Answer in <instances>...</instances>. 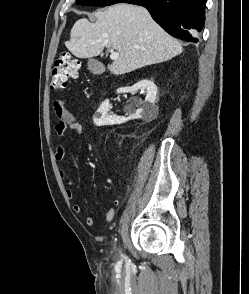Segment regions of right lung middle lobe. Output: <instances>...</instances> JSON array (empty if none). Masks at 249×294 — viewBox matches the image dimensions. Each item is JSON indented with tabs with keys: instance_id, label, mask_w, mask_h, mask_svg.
I'll return each instance as SVG.
<instances>
[{
	"instance_id": "dd1d6c3e",
	"label": "right lung middle lobe",
	"mask_w": 249,
	"mask_h": 294,
	"mask_svg": "<svg viewBox=\"0 0 249 294\" xmlns=\"http://www.w3.org/2000/svg\"><path fill=\"white\" fill-rule=\"evenodd\" d=\"M76 2L81 5L107 6L118 3L119 0H76Z\"/></svg>"
}]
</instances>
